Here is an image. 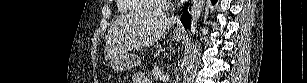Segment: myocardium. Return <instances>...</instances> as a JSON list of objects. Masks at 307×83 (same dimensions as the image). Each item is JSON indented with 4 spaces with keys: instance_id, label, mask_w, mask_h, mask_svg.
I'll use <instances>...</instances> for the list:
<instances>
[{
    "instance_id": "myocardium-1",
    "label": "myocardium",
    "mask_w": 307,
    "mask_h": 83,
    "mask_svg": "<svg viewBox=\"0 0 307 83\" xmlns=\"http://www.w3.org/2000/svg\"><path fill=\"white\" fill-rule=\"evenodd\" d=\"M153 4L156 8H158V11L160 13H168L170 10L174 9L175 4L171 1H161V0H154Z\"/></svg>"
}]
</instances>
